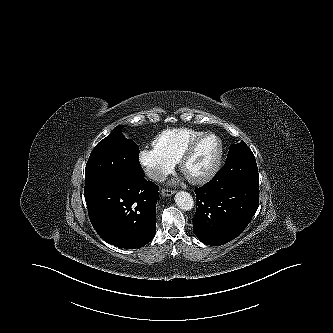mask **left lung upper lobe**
<instances>
[{
	"mask_svg": "<svg viewBox=\"0 0 333 333\" xmlns=\"http://www.w3.org/2000/svg\"><path fill=\"white\" fill-rule=\"evenodd\" d=\"M224 167L228 168L226 171H231V174L237 180H244L259 185L255 157L243 141L230 146Z\"/></svg>",
	"mask_w": 333,
	"mask_h": 333,
	"instance_id": "obj_1",
	"label": "left lung upper lobe"
}]
</instances>
